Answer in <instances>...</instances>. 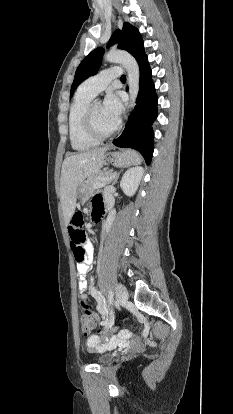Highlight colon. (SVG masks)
<instances>
[{
    "label": "colon",
    "mask_w": 233,
    "mask_h": 414,
    "mask_svg": "<svg viewBox=\"0 0 233 414\" xmlns=\"http://www.w3.org/2000/svg\"><path fill=\"white\" fill-rule=\"evenodd\" d=\"M83 216L77 212L71 219L69 226V235L71 241V248L77 262H82L85 259L86 251L85 244L87 241L86 233L82 229ZM83 315L81 317L82 332L89 334L91 331L97 328L98 318L95 315L91 303L86 299H82ZM101 331V329H98Z\"/></svg>",
    "instance_id": "colon-1"
}]
</instances>
